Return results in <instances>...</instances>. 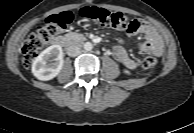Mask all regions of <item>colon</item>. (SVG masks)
<instances>
[{
    "instance_id": "1",
    "label": "colon",
    "mask_w": 194,
    "mask_h": 133,
    "mask_svg": "<svg viewBox=\"0 0 194 133\" xmlns=\"http://www.w3.org/2000/svg\"><path fill=\"white\" fill-rule=\"evenodd\" d=\"M79 15L87 20L96 22L102 26L126 29L129 23L127 17L121 12H112L104 8L95 6H86L79 10ZM73 15L71 12H62L52 15L45 19L43 24L38 26L24 41L21 54L24 65L31 66L43 48L54 38V36L69 23ZM132 22V21H131ZM156 66V60L149 57L143 61L141 68L143 70H153Z\"/></svg>"
}]
</instances>
